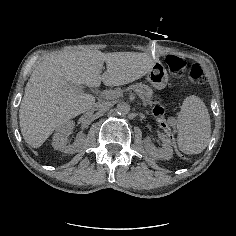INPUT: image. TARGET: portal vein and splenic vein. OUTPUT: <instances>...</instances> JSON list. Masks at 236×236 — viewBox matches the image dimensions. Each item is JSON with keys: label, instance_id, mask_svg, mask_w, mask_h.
<instances>
[{"label": "portal vein and splenic vein", "instance_id": "portal-vein-and-splenic-vein-1", "mask_svg": "<svg viewBox=\"0 0 236 236\" xmlns=\"http://www.w3.org/2000/svg\"><path fill=\"white\" fill-rule=\"evenodd\" d=\"M78 88H79V90H80V91H82V90H83V86H79Z\"/></svg>", "mask_w": 236, "mask_h": 236}]
</instances>
